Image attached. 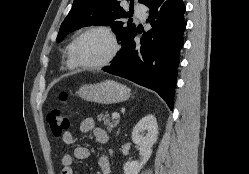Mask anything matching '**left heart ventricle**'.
I'll return each instance as SVG.
<instances>
[{
  "label": "left heart ventricle",
  "mask_w": 249,
  "mask_h": 174,
  "mask_svg": "<svg viewBox=\"0 0 249 174\" xmlns=\"http://www.w3.org/2000/svg\"><path fill=\"white\" fill-rule=\"evenodd\" d=\"M111 50L108 37L101 32H92L84 36L78 44L77 55L87 64H94L107 57Z\"/></svg>",
  "instance_id": "b2bd125f"
}]
</instances>
